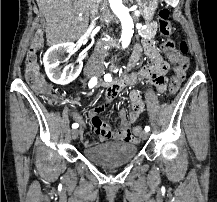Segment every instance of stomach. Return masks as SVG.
I'll use <instances>...</instances> for the list:
<instances>
[{
    "instance_id": "obj_1",
    "label": "stomach",
    "mask_w": 217,
    "mask_h": 202,
    "mask_svg": "<svg viewBox=\"0 0 217 202\" xmlns=\"http://www.w3.org/2000/svg\"><path fill=\"white\" fill-rule=\"evenodd\" d=\"M136 2H138V6L144 20L150 22L158 6V0H136Z\"/></svg>"
}]
</instances>
